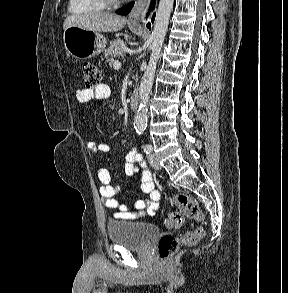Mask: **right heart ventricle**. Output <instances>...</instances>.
Masks as SVG:
<instances>
[{"label":"right heart ventricle","instance_id":"obj_1","mask_svg":"<svg viewBox=\"0 0 288 293\" xmlns=\"http://www.w3.org/2000/svg\"><path fill=\"white\" fill-rule=\"evenodd\" d=\"M107 4L103 0H69L68 10L73 14H85L105 10Z\"/></svg>","mask_w":288,"mask_h":293}]
</instances>
